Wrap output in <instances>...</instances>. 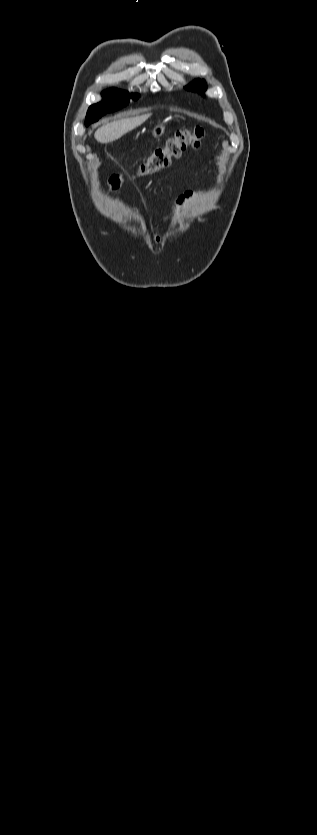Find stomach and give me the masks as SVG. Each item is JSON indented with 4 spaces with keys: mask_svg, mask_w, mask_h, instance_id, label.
<instances>
[{
    "mask_svg": "<svg viewBox=\"0 0 317 835\" xmlns=\"http://www.w3.org/2000/svg\"><path fill=\"white\" fill-rule=\"evenodd\" d=\"M165 130H166V125L165 124L157 123L153 126V128L151 130V133H152V136L154 138H160L161 136L164 135Z\"/></svg>",
    "mask_w": 317,
    "mask_h": 835,
    "instance_id": "stomach-1",
    "label": "stomach"
}]
</instances>
